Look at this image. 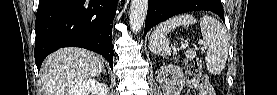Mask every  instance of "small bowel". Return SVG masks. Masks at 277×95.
<instances>
[{
    "label": "small bowel",
    "mask_w": 277,
    "mask_h": 95,
    "mask_svg": "<svg viewBox=\"0 0 277 95\" xmlns=\"http://www.w3.org/2000/svg\"><path fill=\"white\" fill-rule=\"evenodd\" d=\"M180 78H184L182 72L178 73ZM184 86L186 87H194L199 90V95H211L209 93L210 82L205 76H197L192 81H187Z\"/></svg>",
    "instance_id": "obj_1"
}]
</instances>
